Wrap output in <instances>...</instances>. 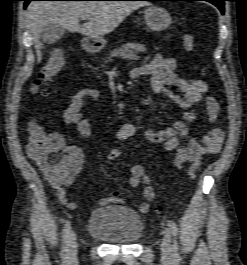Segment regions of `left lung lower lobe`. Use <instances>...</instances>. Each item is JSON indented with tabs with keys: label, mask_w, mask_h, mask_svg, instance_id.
Instances as JSON below:
<instances>
[{
	"label": "left lung lower lobe",
	"mask_w": 247,
	"mask_h": 265,
	"mask_svg": "<svg viewBox=\"0 0 247 265\" xmlns=\"http://www.w3.org/2000/svg\"><path fill=\"white\" fill-rule=\"evenodd\" d=\"M146 1H201V0H146ZM217 6L221 13H224V1L226 0H204Z\"/></svg>",
	"instance_id": "left-lung-lower-lobe-1"
}]
</instances>
